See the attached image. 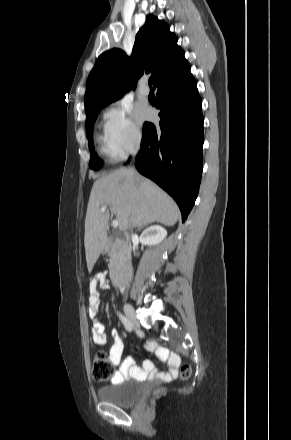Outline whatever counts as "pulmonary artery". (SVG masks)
Returning <instances> with one entry per match:
<instances>
[{
    "instance_id": "e3ab8cb5",
    "label": "pulmonary artery",
    "mask_w": 291,
    "mask_h": 440,
    "mask_svg": "<svg viewBox=\"0 0 291 440\" xmlns=\"http://www.w3.org/2000/svg\"><path fill=\"white\" fill-rule=\"evenodd\" d=\"M139 92L143 95V96H148L149 94V88L147 86V84L144 82L140 85L139 87Z\"/></svg>"
}]
</instances>
